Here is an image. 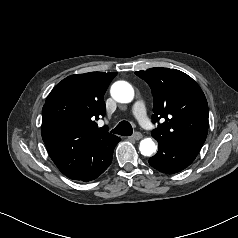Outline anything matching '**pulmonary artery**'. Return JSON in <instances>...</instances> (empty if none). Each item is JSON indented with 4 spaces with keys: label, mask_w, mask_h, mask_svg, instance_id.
Instances as JSON below:
<instances>
[{
    "label": "pulmonary artery",
    "mask_w": 238,
    "mask_h": 238,
    "mask_svg": "<svg viewBox=\"0 0 238 238\" xmlns=\"http://www.w3.org/2000/svg\"><path fill=\"white\" fill-rule=\"evenodd\" d=\"M132 115L147 130L154 129V125L148 117L146 105L142 100L136 101L132 107Z\"/></svg>",
    "instance_id": "obj_1"
}]
</instances>
